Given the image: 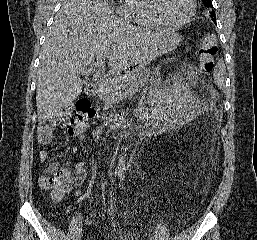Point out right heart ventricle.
<instances>
[{"label": "right heart ventricle", "instance_id": "obj_1", "mask_svg": "<svg viewBox=\"0 0 257 240\" xmlns=\"http://www.w3.org/2000/svg\"><path fill=\"white\" fill-rule=\"evenodd\" d=\"M125 7L130 13V19L144 28H159L162 24L151 14L147 0H126Z\"/></svg>", "mask_w": 257, "mask_h": 240}]
</instances>
